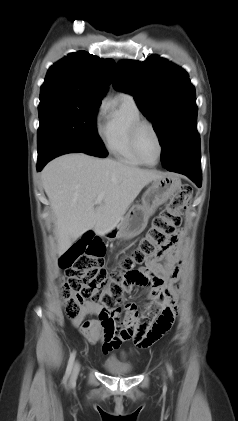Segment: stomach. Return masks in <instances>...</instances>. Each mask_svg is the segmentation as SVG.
Wrapping results in <instances>:
<instances>
[{"mask_svg": "<svg viewBox=\"0 0 238 421\" xmlns=\"http://www.w3.org/2000/svg\"><path fill=\"white\" fill-rule=\"evenodd\" d=\"M180 187L181 180L174 174L165 173L153 180L142 197V203L132 206L108 236L130 239L139 235L155 210L171 198Z\"/></svg>", "mask_w": 238, "mask_h": 421, "instance_id": "obj_1", "label": "stomach"}]
</instances>
